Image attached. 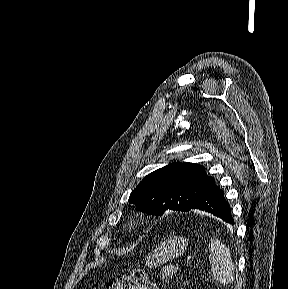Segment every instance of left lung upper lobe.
Wrapping results in <instances>:
<instances>
[{"label": "left lung upper lobe", "mask_w": 288, "mask_h": 289, "mask_svg": "<svg viewBox=\"0 0 288 289\" xmlns=\"http://www.w3.org/2000/svg\"><path fill=\"white\" fill-rule=\"evenodd\" d=\"M214 184L202 165L170 163L147 175L130 194L129 203L150 215L162 216L169 209L185 212Z\"/></svg>", "instance_id": "5c2ea615"}]
</instances>
